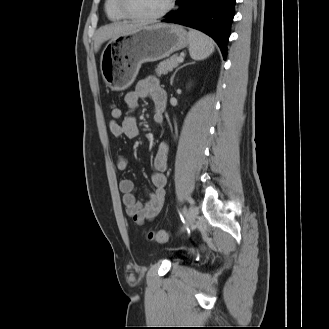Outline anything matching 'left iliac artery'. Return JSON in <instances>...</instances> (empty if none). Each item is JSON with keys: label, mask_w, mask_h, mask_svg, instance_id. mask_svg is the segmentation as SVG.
<instances>
[{"label": "left iliac artery", "mask_w": 329, "mask_h": 329, "mask_svg": "<svg viewBox=\"0 0 329 329\" xmlns=\"http://www.w3.org/2000/svg\"><path fill=\"white\" fill-rule=\"evenodd\" d=\"M187 201L190 203V204H193L194 203V200L191 198V197H186Z\"/></svg>", "instance_id": "obj_1"}]
</instances>
